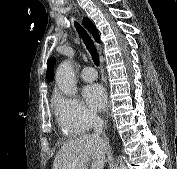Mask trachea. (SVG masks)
I'll list each match as a JSON object with an SVG mask.
<instances>
[{
    "label": "trachea",
    "instance_id": "1",
    "mask_svg": "<svg viewBox=\"0 0 177 169\" xmlns=\"http://www.w3.org/2000/svg\"><path fill=\"white\" fill-rule=\"evenodd\" d=\"M74 25L76 27V30L80 34V36H81V38H82L87 50L91 54L94 64L96 66H98L99 65V58H98V53H97V50L95 49L93 41L91 40V38L88 35V33L83 29V27L79 25L78 22H75Z\"/></svg>",
    "mask_w": 177,
    "mask_h": 169
}]
</instances>
